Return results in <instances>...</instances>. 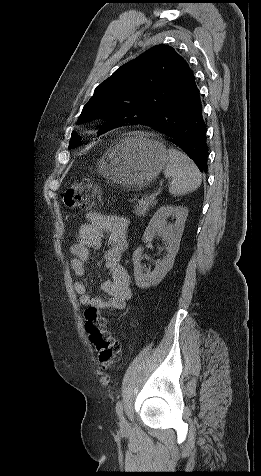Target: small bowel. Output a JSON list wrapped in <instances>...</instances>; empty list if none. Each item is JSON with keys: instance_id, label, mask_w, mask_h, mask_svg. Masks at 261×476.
Segmentation results:
<instances>
[{"instance_id": "1", "label": "small bowel", "mask_w": 261, "mask_h": 476, "mask_svg": "<svg viewBox=\"0 0 261 476\" xmlns=\"http://www.w3.org/2000/svg\"><path fill=\"white\" fill-rule=\"evenodd\" d=\"M87 217L89 222L79 227L77 239L70 248L71 268L78 277L74 283V290L84 306L95 307L98 310H123L132 297L130 275L120 263L127 247L129 222L124 217L99 212H90ZM104 239L107 242V249L103 256V264L109 272L110 279L101 285L105 297H97L88 290L86 264L90 250L99 248Z\"/></svg>"}]
</instances>
